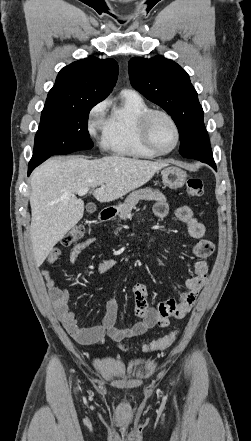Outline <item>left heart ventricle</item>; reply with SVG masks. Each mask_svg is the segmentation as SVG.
<instances>
[{
  "label": "left heart ventricle",
  "instance_id": "b2bd125f",
  "mask_svg": "<svg viewBox=\"0 0 251 441\" xmlns=\"http://www.w3.org/2000/svg\"><path fill=\"white\" fill-rule=\"evenodd\" d=\"M150 131L154 145L160 150H169L175 144L174 129L165 117L155 116Z\"/></svg>",
  "mask_w": 251,
  "mask_h": 441
}]
</instances>
